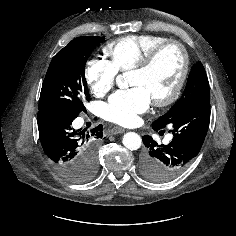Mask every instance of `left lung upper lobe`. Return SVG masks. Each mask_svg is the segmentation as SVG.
Listing matches in <instances>:
<instances>
[{
	"label": "left lung upper lobe",
	"instance_id": "left-lung-upper-lobe-1",
	"mask_svg": "<svg viewBox=\"0 0 236 236\" xmlns=\"http://www.w3.org/2000/svg\"><path fill=\"white\" fill-rule=\"evenodd\" d=\"M206 98H210L209 82L203 65L201 62H198L191 69L182 97L166 114L155 120L152 127L165 128L173 118L186 110L190 105Z\"/></svg>",
	"mask_w": 236,
	"mask_h": 236
}]
</instances>
